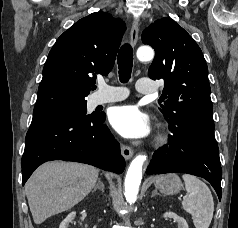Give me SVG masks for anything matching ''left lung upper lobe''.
<instances>
[{"instance_id": "5c2ea615", "label": "left lung upper lobe", "mask_w": 238, "mask_h": 228, "mask_svg": "<svg viewBox=\"0 0 238 228\" xmlns=\"http://www.w3.org/2000/svg\"><path fill=\"white\" fill-rule=\"evenodd\" d=\"M142 41L155 49L150 78L163 79L159 110L169 124L214 127L208 67L201 49L174 20H156L142 33Z\"/></svg>"}]
</instances>
